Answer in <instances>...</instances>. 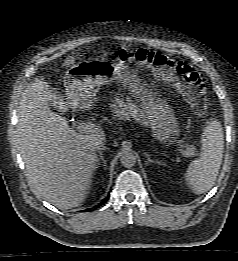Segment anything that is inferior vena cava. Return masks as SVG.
<instances>
[{"label":"inferior vena cava","instance_id":"1","mask_svg":"<svg viewBox=\"0 0 238 261\" xmlns=\"http://www.w3.org/2000/svg\"><path fill=\"white\" fill-rule=\"evenodd\" d=\"M104 147H105V146H104L103 144H98V145L95 147V149L98 150V151H100V150H102Z\"/></svg>","mask_w":238,"mask_h":261}]
</instances>
